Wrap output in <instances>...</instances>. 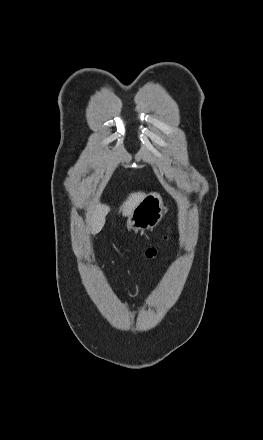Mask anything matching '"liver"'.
I'll return each instance as SVG.
<instances>
[{"mask_svg": "<svg viewBox=\"0 0 263 440\" xmlns=\"http://www.w3.org/2000/svg\"><path fill=\"white\" fill-rule=\"evenodd\" d=\"M143 196L142 192L131 193L126 201L121 205L119 212L122 213L123 216H129L133 210L135 203L138 201L140 197ZM110 211L109 206L101 203L95 204L87 214V223L91 227V233L97 234L99 233L106 222V215Z\"/></svg>", "mask_w": 263, "mask_h": 440, "instance_id": "obj_1", "label": "liver"}]
</instances>
